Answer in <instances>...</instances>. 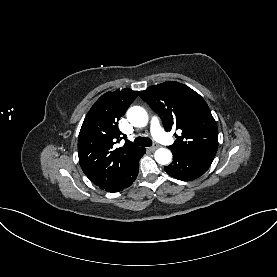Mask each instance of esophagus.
<instances>
[{"label":"esophagus","mask_w":277,"mask_h":277,"mask_svg":"<svg viewBox=\"0 0 277 277\" xmlns=\"http://www.w3.org/2000/svg\"><path fill=\"white\" fill-rule=\"evenodd\" d=\"M157 147H158V145H157V144H155V145H153V146L149 147V150H150V151H154V150H156V149H157Z\"/></svg>","instance_id":"1"}]
</instances>
